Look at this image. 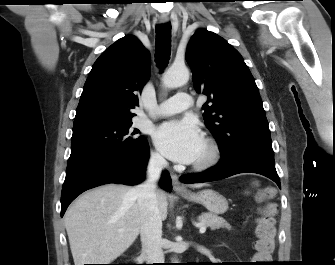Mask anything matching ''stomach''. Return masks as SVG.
Returning <instances> with one entry per match:
<instances>
[{"instance_id":"0dacf381","label":"stomach","mask_w":335,"mask_h":265,"mask_svg":"<svg viewBox=\"0 0 335 265\" xmlns=\"http://www.w3.org/2000/svg\"><path fill=\"white\" fill-rule=\"evenodd\" d=\"M180 195L190 202L202 204L210 213L215 215L223 214L228 209L226 198L212 189H205L197 193H180Z\"/></svg>"}]
</instances>
